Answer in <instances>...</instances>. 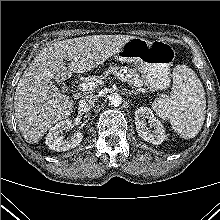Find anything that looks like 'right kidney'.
Instances as JSON below:
<instances>
[{
    "mask_svg": "<svg viewBox=\"0 0 220 220\" xmlns=\"http://www.w3.org/2000/svg\"><path fill=\"white\" fill-rule=\"evenodd\" d=\"M72 127V121L69 119L60 121L52 127L45 141L49 149L62 152L78 146L83 139V133L76 132L70 138H65V136L62 135L64 131H69Z\"/></svg>",
    "mask_w": 220,
    "mask_h": 220,
    "instance_id": "ca27d5eb",
    "label": "right kidney"
}]
</instances>
